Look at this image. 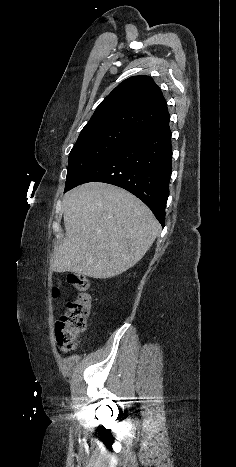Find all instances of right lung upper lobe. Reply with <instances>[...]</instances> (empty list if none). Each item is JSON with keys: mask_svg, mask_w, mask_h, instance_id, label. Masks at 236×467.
Instances as JSON below:
<instances>
[{"mask_svg": "<svg viewBox=\"0 0 236 467\" xmlns=\"http://www.w3.org/2000/svg\"><path fill=\"white\" fill-rule=\"evenodd\" d=\"M170 118L160 88L149 76L121 82L97 107L83 130L117 125L141 132Z\"/></svg>", "mask_w": 236, "mask_h": 467, "instance_id": "1", "label": "right lung upper lobe"}]
</instances>
